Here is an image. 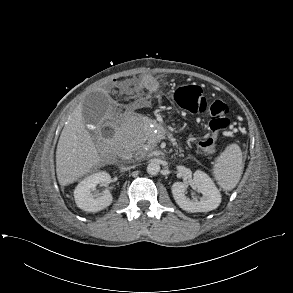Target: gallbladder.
Masks as SVG:
<instances>
[{
    "instance_id": "gallbladder-1",
    "label": "gallbladder",
    "mask_w": 293,
    "mask_h": 293,
    "mask_svg": "<svg viewBox=\"0 0 293 293\" xmlns=\"http://www.w3.org/2000/svg\"><path fill=\"white\" fill-rule=\"evenodd\" d=\"M110 106L109 96L103 92H92L82 103V116L86 124L97 125Z\"/></svg>"
}]
</instances>
